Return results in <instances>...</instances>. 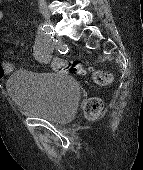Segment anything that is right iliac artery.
<instances>
[{
  "label": "right iliac artery",
  "mask_w": 143,
  "mask_h": 170,
  "mask_svg": "<svg viewBox=\"0 0 143 170\" xmlns=\"http://www.w3.org/2000/svg\"><path fill=\"white\" fill-rule=\"evenodd\" d=\"M40 31L45 34H51L52 33V26L49 24H43L40 26Z\"/></svg>",
  "instance_id": "1"
}]
</instances>
